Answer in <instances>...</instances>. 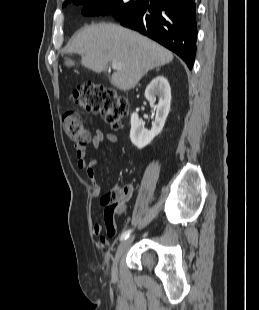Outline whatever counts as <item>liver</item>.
<instances>
[{"mask_svg":"<svg viewBox=\"0 0 259 310\" xmlns=\"http://www.w3.org/2000/svg\"><path fill=\"white\" fill-rule=\"evenodd\" d=\"M65 53L81 55V64L96 73L107 69L108 63L118 61L111 83L126 91L134 88L151 69L173 60V54L151 39L115 24H95L80 30L65 47Z\"/></svg>","mask_w":259,"mask_h":310,"instance_id":"1","label":"liver"}]
</instances>
